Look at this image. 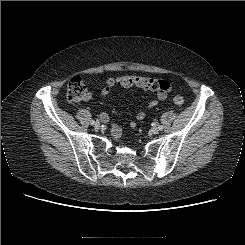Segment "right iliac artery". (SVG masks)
Wrapping results in <instances>:
<instances>
[{
	"label": "right iliac artery",
	"instance_id": "82829eb1",
	"mask_svg": "<svg viewBox=\"0 0 245 245\" xmlns=\"http://www.w3.org/2000/svg\"><path fill=\"white\" fill-rule=\"evenodd\" d=\"M96 122H98V120H97ZM90 123H91L92 125H94V124H95V121H94V120H91Z\"/></svg>",
	"mask_w": 245,
	"mask_h": 245
}]
</instances>
